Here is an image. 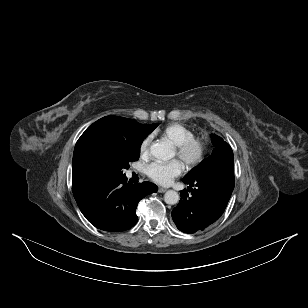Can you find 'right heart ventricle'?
Here are the masks:
<instances>
[{
	"mask_svg": "<svg viewBox=\"0 0 308 308\" xmlns=\"http://www.w3.org/2000/svg\"><path fill=\"white\" fill-rule=\"evenodd\" d=\"M157 134L175 147L194 136L193 131L180 123H170L157 131Z\"/></svg>",
	"mask_w": 308,
	"mask_h": 308,
	"instance_id": "e07e8e85",
	"label": "right heart ventricle"
}]
</instances>
